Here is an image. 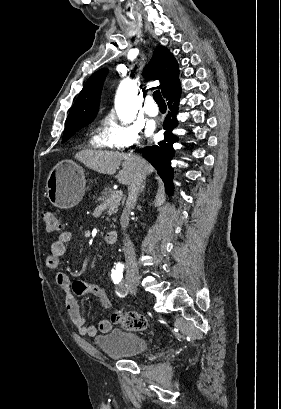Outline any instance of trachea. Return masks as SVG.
<instances>
[{
  "instance_id": "1",
  "label": "trachea",
  "mask_w": 281,
  "mask_h": 409,
  "mask_svg": "<svg viewBox=\"0 0 281 409\" xmlns=\"http://www.w3.org/2000/svg\"><path fill=\"white\" fill-rule=\"evenodd\" d=\"M153 98H154L156 103L164 102V99H163V97L161 95L160 90H155V92L153 93Z\"/></svg>"
}]
</instances>
